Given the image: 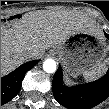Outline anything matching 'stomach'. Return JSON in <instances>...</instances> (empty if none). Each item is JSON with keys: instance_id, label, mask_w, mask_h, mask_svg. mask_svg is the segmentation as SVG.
Segmentation results:
<instances>
[{"instance_id": "0dacf381", "label": "stomach", "mask_w": 109, "mask_h": 109, "mask_svg": "<svg viewBox=\"0 0 109 109\" xmlns=\"http://www.w3.org/2000/svg\"><path fill=\"white\" fill-rule=\"evenodd\" d=\"M50 52L65 65L70 75L76 77L108 62L109 45L104 35L80 29L73 31L63 44L53 47Z\"/></svg>"}]
</instances>
